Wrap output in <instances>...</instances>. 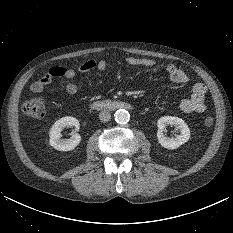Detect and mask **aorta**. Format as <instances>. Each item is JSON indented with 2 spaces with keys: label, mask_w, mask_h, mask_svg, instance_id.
<instances>
[{
  "label": "aorta",
  "mask_w": 233,
  "mask_h": 233,
  "mask_svg": "<svg viewBox=\"0 0 233 233\" xmlns=\"http://www.w3.org/2000/svg\"><path fill=\"white\" fill-rule=\"evenodd\" d=\"M114 116H115V121L118 124H126V123H128V121L130 119V114L125 109H119V110H117L115 112Z\"/></svg>",
  "instance_id": "762f6f07"
}]
</instances>
